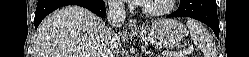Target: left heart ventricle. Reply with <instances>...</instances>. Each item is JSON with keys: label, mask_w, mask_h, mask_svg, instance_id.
<instances>
[{"label": "left heart ventricle", "mask_w": 249, "mask_h": 57, "mask_svg": "<svg viewBox=\"0 0 249 57\" xmlns=\"http://www.w3.org/2000/svg\"><path fill=\"white\" fill-rule=\"evenodd\" d=\"M167 3V0H150L147 1L146 4H148L151 8L159 9L165 6Z\"/></svg>", "instance_id": "b2bd125f"}]
</instances>
